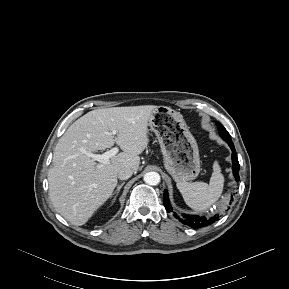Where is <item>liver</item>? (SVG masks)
Returning a JSON list of instances; mask_svg holds the SVG:
<instances>
[{"instance_id": "obj_1", "label": "liver", "mask_w": 289, "mask_h": 289, "mask_svg": "<svg viewBox=\"0 0 289 289\" xmlns=\"http://www.w3.org/2000/svg\"><path fill=\"white\" fill-rule=\"evenodd\" d=\"M153 105L113 107L88 112L76 120L59 139L53 166L48 171L49 197L56 211L75 226L84 225L112 195L117 174L136 172L148 145V122ZM116 131V136L110 131ZM117 143L123 152L106 165L82 153L105 150Z\"/></svg>"}]
</instances>
